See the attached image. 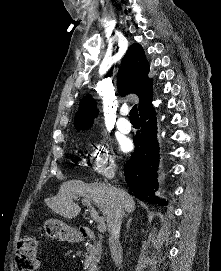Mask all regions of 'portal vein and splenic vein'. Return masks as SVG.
Masks as SVG:
<instances>
[{
  "label": "portal vein and splenic vein",
  "instance_id": "1",
  "mask_svg": "<svg viewBox=\"0 0 221 271\" xmlns=\"http://www.w3.org/2000/svg\"><path fill=\"white\" fill-rule=\"evenodd\" d=\"M97 221H99V223H98L99 231H105V229H106L105 219H99V217H97Z\"/></svg>",
  "mask_w": 221,
  "mask_h": 271
}]
</instances>
